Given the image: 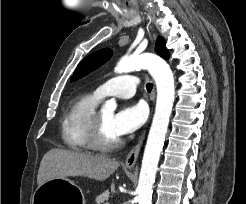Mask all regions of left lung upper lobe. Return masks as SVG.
<instances>
[{
  "mask_svg": "<svg viewBox=\"0 0 246 204\" xmlns=\"http://www.w3.org/2000/svg\"><path fill=\"white\" fill-rule=\"evenodd\" d=\"M156 52L163 58H169V51L165 46V40L162 37H158L156 42ZM112 56V50L109 48L98 50L88 57L83 59L79 65L77 66L73 76L71 77V81H76L91 71L98 68L100 65L105 63Z\"/></svg>",
  "mask_w": 246,
  "mask_h": 204,
  "instance_id": "5c2ea615",
  "label": "left lung upper lobe"
}]
</instances>
